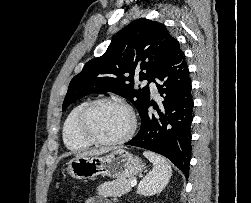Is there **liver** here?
I'll list each match as a JSON object with an SVG mask.
<instances>
[{
  "instance_id": "obj_1",
  "label": "liver",
  "mask_w": 251,
  "mask_h": 203,
  "mask_svg": "<svg viewBox=\"0 0 251 203\" xmlns=\"http://www.w3.org/2000/svg\"><path fill=\"white\" fill-rule=\"evenodd\" d=\"M111 151V148H101L99 150H90L86 152H82L76 155V157H84V156H99Z\"/></svg>"
}]
</instances>
